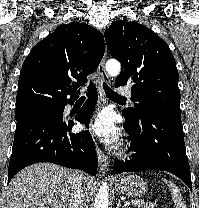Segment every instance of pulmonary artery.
I'll return each mask as SVG.
<instances>
[{"instance_id":"obj_1","label":"pulmonary artery","mask_w":199,"mask_h":208,"mask_svg":"<svg viewBox=\"0 0 199 208\" xmlns=\"http://www.w3.org/2000/svg\"><path fill=\"white\" fill-rule=\"evenodd\" d=\"M118 95L121 97H131V90L129 88H119Z\"/></svg>"}]
</instances>
